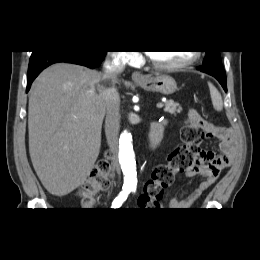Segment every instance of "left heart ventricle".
<instances>
[{
    "label": "left heart ventricle",
    "mask_w": 260,
    "mask_h": 260,
    "mask_svg": "<svg viewBox=\"0 0 260 260\" xmlns=\"http://www.w3.org/2000/svg\"><path fill=\"white\" fill-rule=\"evenodd\" d=\"M154 60L163 64H174L188 59L192 52L190 51H153L150 52Z\"/></svg>",
    "instance_id": "1"
}]
</instances>
